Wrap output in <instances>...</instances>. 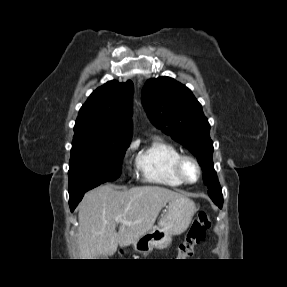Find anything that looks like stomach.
Returning a JSON list of instances; mask_svg holds the SVG:
<instances>
[{
  "label": "stomach",
  "mask_w": 287,
  "mask_h": 287,
  "mask_svg": "<svg viewBox=\"0 0 287 287\" xmlns=\"http://www.w3.org/2000/svg\"><path fill=\"white\" fill-rule=\"evenodd\" d=\"M196 211L195 203L187 197L169 202L167 212L158 225L153 226L132 244L134 250L147 254L154 248H166L171 244L173 236L182 234L188 228Z\"/></svg>",
  "instance_id": "obj_1"
}]
</instances>
